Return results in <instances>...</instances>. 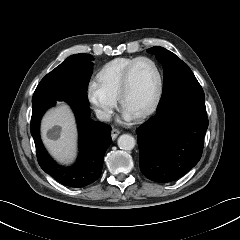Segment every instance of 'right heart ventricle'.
<instances>
[{"instance_id": "1", "label": "right heart ventricle", "mask_w": 240, "mask_h": 240, "mask_svg": "<svg viewBox=\"0 0 240 240\" xmlns=\"http://www.w3.org/2000/svg\"><path fill=\"white\" fill-rule=\"evenodd\" d=\"M135 59V57H121L103 65L96 74L97 85L107 95L118 99L123 74Z\"/></svg>"}]
</instances>
